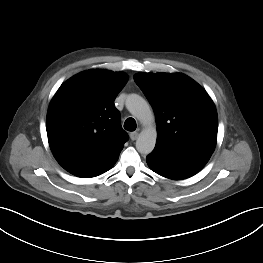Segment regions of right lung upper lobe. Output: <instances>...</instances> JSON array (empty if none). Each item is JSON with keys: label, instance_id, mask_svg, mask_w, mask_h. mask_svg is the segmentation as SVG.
Masks as SVG:
<instances>
[{"label": "right lung upper lobe", "instance_id": "1", "mask_svg": "<svg viewBox=\"0 0 263 263\" xmlns=\"http://www.w3.org/2000/svg\"><path fill=\"white\" fill-rule=\"evenodd\" d=\"M127 81L122 72L89 70L67 80L54 95L47 113L48 141L71 174L97 176L117 161L128 136L114 100Z\"/></svg>", "mask_w": 263, "mask_h": 263}]
</instances>
